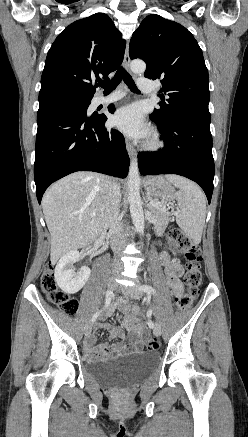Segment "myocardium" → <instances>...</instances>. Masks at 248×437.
I'll return each instance as SVG.
<instances>
[{
	"mask_svg": "<svg viewBox=\"0 0 248 437\" xmlns=\"http://www.w3.org/2000/svg\"><path fill=\"white\" fill-rule=\"evenodd\" d=\"M144 146L148 150H157L162 147V142L156 135H153L146 141Z\"/></svg>",
	"mask_w": 248,
	"mask_h": 437,
	"instance_id": "myocardium-1",
	"label": "myocardium"
}]
</instances>
